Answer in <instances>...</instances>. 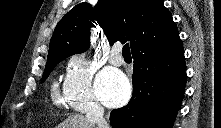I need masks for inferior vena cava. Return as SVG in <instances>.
I'll use <instances>...</instances> for the list:
<instances>
[{
    "mask_svg": "<svg viewBox=\"0 0 221 128\" xmlns=\"http://www.w3.org/2000/svg\"><path fill=\"white\" fill-rule=\"evenodd\" d=\"M86 117L90 122L97 124L98 128H109V125L104 118V109L98 103H92L89 106Z\"/></svg>",
    "mask_w": 221,
    "mask_h": 128,
    "instance_id": "1",
    "label": "inferior vena cava"
}]
</instances>
